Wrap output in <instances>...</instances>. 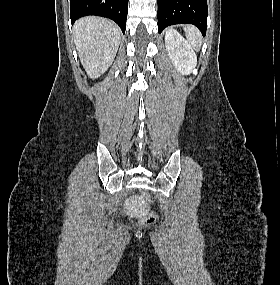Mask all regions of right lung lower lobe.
Masks as SVG:
<instances>
[{
    "instance_id": "98d812e1",
    "label": "right lung lower lobe",
    "mask_w": 280,
    "mask_h": 285,
    "mask_svg": "<svg viewBox=\"0 0 280 285\" xmlns=\"http://www.w3.org/2000/svg\"><path fill=\"white\" fill-rule=\"evenodd\" d=\"M128 0H70L72 24L80 17L97 15L112 19L125 33Z\"/></svg>"
}]
</instances>
